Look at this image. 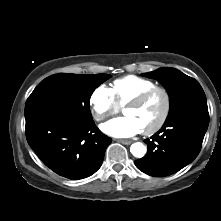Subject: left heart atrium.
Segmentation results:
<instances>
[{"mask_svg":"<svg viewBox=\"0 0 221 221\" xmlns=\"http://www.w3.org/2000/svg\"><path fill=\"white\" fill-rule=\"evenodd\" d=\"M101 130L113 137L126 138L139 133L142 129L133 117L124 116L102 124Z\"/></svg>","mask_w":221,"mask_h":221,"instance_id":"obj_1","label":"left heart atrium"}]
</instances>
